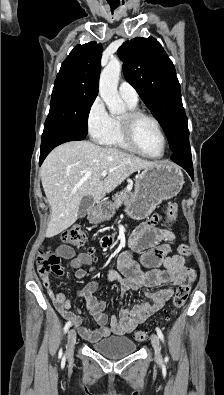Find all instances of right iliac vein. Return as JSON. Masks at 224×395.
<instances>
[{
  "label": "right iliac vein",
  "instance_id": "right-iliac-vein-1",
  "mask_svg": "<svg viewBox=\"0 0 224 395\" xmlns=\"http://www.w3.org/2000/svg\"><path fill=\"white\" fill-rule=\"evenodd\" d=\"M75 343H76V331L75 329H70L67 336V347H66L67 357H71L73 355Z\"/></svg>",
  "mask_w": 224,
  "mask_h": 395
}]
</instances>
